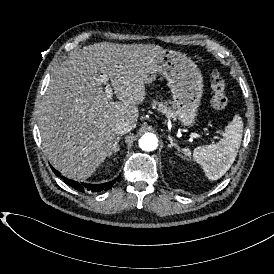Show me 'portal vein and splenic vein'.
<instances>
[{
	"mask_svg": "<svg viewBox=\"0 0 274 274\" xmlns=\"http://www.w3.org/2000/svg\"><path fill=\"white\" fill-rule=\"evenodd\" d=\"M101 77V81H104L105 80V76H103V75H101L100 76ZM105 93H106V96H107V98H110L111 99V97H112V88L110 87V86H106L105 87Z\"/></svg>",
	"mask_w": 274,
	"mask_h": 274,
	"instance_id": "18ae733b",
	"label": "portal vein and splenic vein"
}]
</instances>
